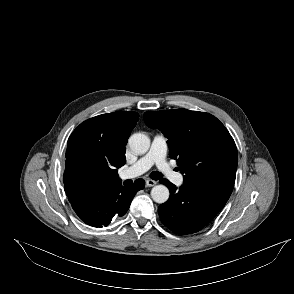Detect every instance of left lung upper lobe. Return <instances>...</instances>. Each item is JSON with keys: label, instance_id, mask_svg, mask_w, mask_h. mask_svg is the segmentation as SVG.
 Instances as JSON below:
<instances>
[{"label": "left lung upper lobe", "instance_id": "5c2ea615", "mask_svg": "<svg viewBox=\"0 0 294 294\" xmlns=\"http://www.w3.org/2000/svg\"><path fill=\"white\" fill-rule=\"evenodd\" d=\"M148 127L168 138L184 184L215 181L234 185L238 153L232 136L213 115L186 109L148 111Z\"/></svg>", "mask_w": 294, "mask_h": 294}]
</instances>
